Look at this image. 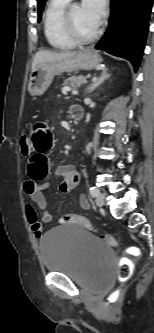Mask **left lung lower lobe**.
<instances>
[{
  "label": "left lung lower lobe",
  "instance_id": "0a47b994",
  "mask_svg": "<svg viewBox=\"0 0 154 333\" xmlns=\"http://www.w3.org/2000/svg\"><path fill=\"white\" fill-rule=\"evenodd\" d=\"M152 0H111L107 32L95 46L138 69L147 38Z\"/></svg>",
  "mask_w": 154,
  "mask_h": 333
}]
</instances>
